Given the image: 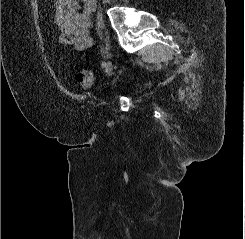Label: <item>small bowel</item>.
<instances>
[{"mask_svg":"<svg viewBox=\"0 0 245 239\" xmlns=\"http://www.w3.org/2000/svg\"><path fill=\"white\" fill-rule=\"evenodd\" d=\"M97 0H56L55 24L61 31L60 41L84 50L92 44L89 35L90 15Z\"/></svg>","mask_w":245,"mask_h":239,"instance_id":"small-bowel-1","label":"small bowel"}]
</instances>
